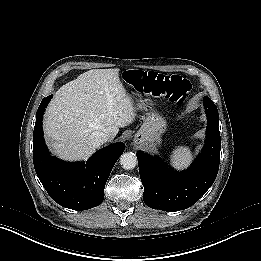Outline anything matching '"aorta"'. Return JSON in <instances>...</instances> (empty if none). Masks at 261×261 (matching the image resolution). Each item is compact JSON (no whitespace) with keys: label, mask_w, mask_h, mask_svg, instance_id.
Masks as SVG:
<instances>
[{"label":"aorta","mask_w":261,"mask_h":261,"mask_svg":"<svg viewBox=\"0 0 261 261\" xmlns=\"http://www.w3.org/2000/svg\"><path fill=\"white\" fill-rule=\"evenodd\" d=\"M120 165L125 170H132L137 166V157L133 152L123 153L120 157Z\"/></svg>","instance_id":"obj_1"}]
</instances>
